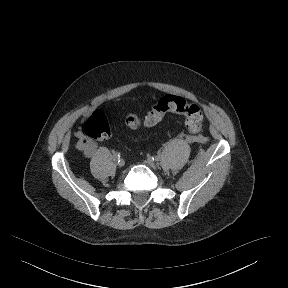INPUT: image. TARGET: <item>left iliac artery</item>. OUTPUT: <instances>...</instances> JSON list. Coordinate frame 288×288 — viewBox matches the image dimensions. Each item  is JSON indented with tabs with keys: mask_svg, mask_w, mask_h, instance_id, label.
Masks as SVG:
<instances>
[{
	"mask_svg": "<svg viewBox=\"0 0 288 288\" xmlns=\"http://www.w3.org/2000/svg\"><path fill=\"white\" fill-rule=\"evenodd\" d=\"M159 159H160L159 156H154V157H153V160H155V161H159Z\"/></svg>",
	"mask_w": 288,
	"mask_h": 288,
	"instance_id": "obj_1",
	"label": "left iliac artery"
}]
</instances>
